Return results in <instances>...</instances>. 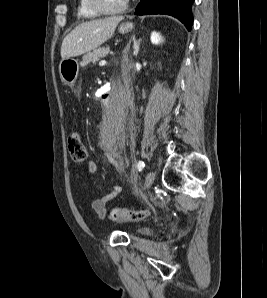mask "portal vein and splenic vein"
<instances>
[{"label": "portal vein and splenic vein", "instance_id": "obj_1", "mask_svg": "<svg viewBox=\"0 0 267 298\" xmlns=\"http://www.w3.org/2000/svg\"><path fill=\"white\" fill-rule=\"evenodd\" d=\"M103 62H105V61L103 60V61H101L99 64L101 65Z\"/></svg>", "mask_w": 267, "mask_h": 298}]
</instances>
